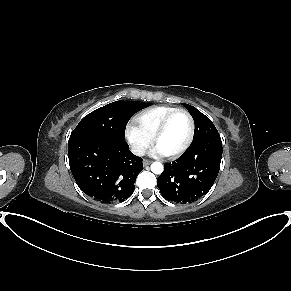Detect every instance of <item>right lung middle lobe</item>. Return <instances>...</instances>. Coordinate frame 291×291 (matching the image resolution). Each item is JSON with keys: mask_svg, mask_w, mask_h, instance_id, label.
<instances>
[{"mask_svg": "<svg viewBox=\"0 0 291 291\" xmlns=\"http://www.w3.org/2000/svg\"><path fill=\"white\" fill-rule=\"evenodd\" d=\"M144 103L116 101L86 115L73 130L70 139L81 136H106L125 140V129L129 119Z\"/></svg>", "mask_w": 291, "mask_h": 291, "instance_id": "right-lung-middle-lobe-1", "label": "right lung middle lobe"}]
</instances>
